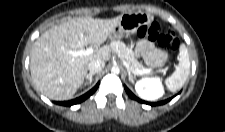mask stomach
<instances>
[{"label": "stomach", "instance_id": "1", "mask_svg": "<svg viewBox=\"0 0 225 132\" xmlns=\"http://www.w3.org/2000/svg\"><path fill=\"white\" fill-rule=\"evenodd\" d=\"M148 20L149 15L143 13L122 15L118 26L109 35V39L114 41L125 33L135 32L141 25L146 24Z\"/></svg>", "mask_w": 225, "mask_h": 132}]
</instances>
